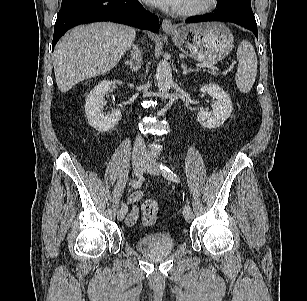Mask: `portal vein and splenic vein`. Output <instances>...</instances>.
<instances>
[{
  "mask_svg": "<svg viewBox=\"0 0 307 301\" xmlns=\"http://www.w3.org/2000/svg\"><path fill=\"white\" fill-rule=\"evenodd\" d=\"M196 66L199 67V68H211V69H214L213 63L197 64Z\"/></svg>",
  "mask_w": 307,
  "mask_h": 301,
  "instance_id": "1",
  "label": "portal vein and splenic vein"
}]
</instances>
